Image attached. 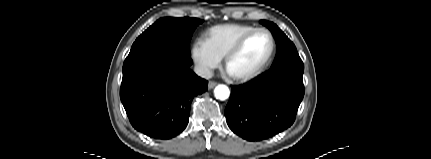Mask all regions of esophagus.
<instances>
[{"mask_svg":"<svg viewBox=\"0 0 431 159\" xmlns=\"http://www.w3.org/2000/svg\"><path fill=\"white\" fill-rule=\"evenodd\" d=\"M216 85H217V83H216V82H214V81H209V83H208V89H213Z\"/></svg>","mask_w":431,"mask_h":159,"instance_id":"esophagus-1","label":"esophagus"}]
</instances>
